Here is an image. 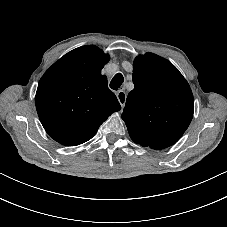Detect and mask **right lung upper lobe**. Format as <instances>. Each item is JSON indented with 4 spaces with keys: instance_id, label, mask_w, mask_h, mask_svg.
I'll return each instance as SVG.
<instances>
[{
    "instance_id": "obj_1",
    "label": "right lung upper lobe",
    "mask_w": 227,
    "mask_h": 227,
    "mask_svg": "<svg viewBox=\"0 0 227 227\" xmlns=\"http://www.w3.org/2000/svg\"><path fill=\"white\" fill-rule=\"evenodd\" d=\"M110 57L94 45L74 49L39 81L35 103L40 121L55 141L76 146L91 139L121 106L101 69Z\"/></svg>"
}]
</instances>
